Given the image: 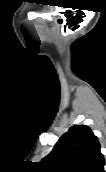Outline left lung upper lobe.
Listing matches in <instances>:
<instances>
[{
  "label": "left lung upper lobe",
  "mask_w": 106,
  "mask_h": 172,
  "mask_svg": "<svg viewBox=\"0 0 106 172\" xmlns=\"http://www.w3.org/2000/svg\"><path fill=\"white\" fill-rule=\"evenodd\" d=\"M39 167L43 172H105V161L91 129L74 125L42 159Z\"/></svg>",
  "instance_id": "obj_1"
}]
</instances>
